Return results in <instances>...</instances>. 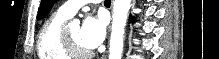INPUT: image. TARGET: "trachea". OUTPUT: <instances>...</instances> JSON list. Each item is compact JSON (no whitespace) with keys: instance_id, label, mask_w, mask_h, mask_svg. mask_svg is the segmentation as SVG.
Here are the masks:
<instances>
[{"instance_id":"1","label":"trachea","mask_w":219,"mask_h":59,"mask_svg":"<svg viewBox=\"0 0 219 59\" xmlns=\"http://www.w3.org/2000/svg\"><path fill=\"white\" fill-rule=\"evenodd\" d=\"M110 2H111L110 0H105V1H104V3H110Z\"/></svg>"}]
</instances>
